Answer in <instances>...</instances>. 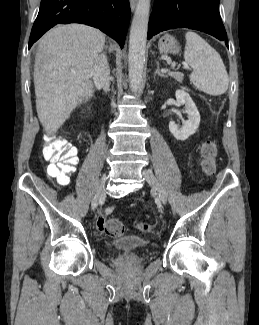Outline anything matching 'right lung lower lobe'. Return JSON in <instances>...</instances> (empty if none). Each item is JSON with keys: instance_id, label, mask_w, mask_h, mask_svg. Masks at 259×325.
I'll list each match as a JSON object with an SVG mask.
<instances>
[{"instance_id": "right-lung-lower-lobe-1", "label": "right lung lower lobe", "mask_w": 259, "mask_h": 325, "mask_svg": "<svg viewBox=\"0 0 259 325\" xmlns=\"http://www.w3.org/2000/svg\"><path fill=\"white\" fill-rule=\"evenodd\" d=\"M130 20L129 0H41L29 48L56 24L81 23L99 28L124 46Z\"/></svg>"}]
</instances>
